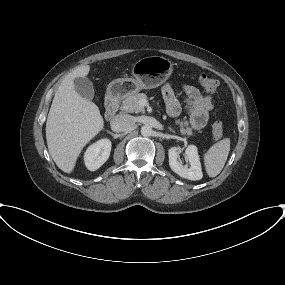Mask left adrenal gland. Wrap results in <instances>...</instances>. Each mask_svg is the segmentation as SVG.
<instances>
[{"label": "left adrenal gland", "mask_w": 285, "mask_h": 285, "mask_svg": "<svg viewBox=\"0 0 285 285\" xmlns=\"http://www.w3.org/2000/svg\"><path fill=\"white\" fill-rule=\"evenodd\" d=\"M168 129H169L171 132H173V133L175 132V131H174L173 129H171L170 127H168Z\"/></svg>", "instance_id": "left-adrenal-gland-1"}]
</instances>
